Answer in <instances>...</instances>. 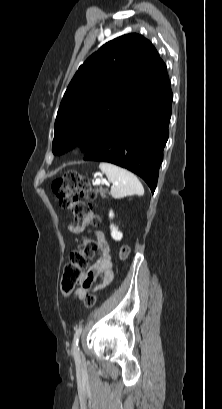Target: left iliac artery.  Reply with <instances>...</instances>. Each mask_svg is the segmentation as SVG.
<instances>
[{"mask_svg": "<svg viewBox=\"0 0 222 409\" xmlns=\"http://www.w3.org/2000/svg\"><path fill=\"white\" fill-rule=\"evenodd\" d=\"M81 332H82V326H79L75 331L74 339H73V355L76 359L80 358L78 343H79V337L81 335Z\"/></svg>", "mask_w": 222, "mask_h": 409, "instance_id": "obj_1", "label": "left iliac artery"}]
</instances>
